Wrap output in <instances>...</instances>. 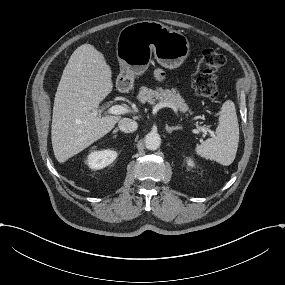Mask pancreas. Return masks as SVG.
I'll return each instance as SVG.
<instances>
[{"label":"pancreas","mask_w":285,"mask_h":285,"mask_svg":"<svg viewBox=\"0 0 285 285\" xmlns=\"http://www.w3.org/2000/svg\"><path fill=\"white\" fill-rule=\"evenodd\" d=\"M138 99L142 103L158 104L167 103L178 109L181 113H185L188 108L179 94H176L174 90L163 89L161 87H142L138 94Z\"/></svg>","instance_id":"cf45deb5"}]
</instances>
